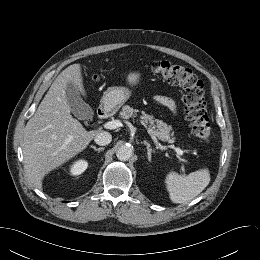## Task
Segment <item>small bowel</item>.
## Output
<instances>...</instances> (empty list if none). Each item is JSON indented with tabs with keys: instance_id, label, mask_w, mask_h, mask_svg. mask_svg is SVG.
Segmentation results:
<instances>
[{
	"instance_id": "obj_1",
	"label": "small bowel",
	"mask_w": 260,
	"mask_h": 260,
	"mask_svg": "<svg viewBox=\"0 0 260 260\" xmlns=\"http://www.w3.org/2000/svg\"><path fill=\"white\" fill-rule=\"evenodd\" d=\"M155 101L158 104L165 106V107L169 108L170 110H172L174 112L176 111L175 102L168 96H164V95L157 96L155 98Z\"/></svg>"
}]
</instances>
